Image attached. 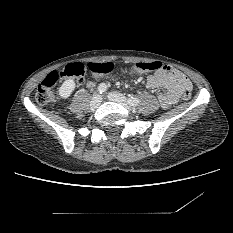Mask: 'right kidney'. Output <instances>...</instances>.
I'll list each match as a JSON object with an SVG mask.
<instances>
[{"label":"right kidney","instance_id":"right-kidney-1","mask_svg":"<svg viewBox=\"0 0 233 233\" xmlns=\"http://www.w3.org/2000/svg\"><path fill=\"white\" fill-rule=\"evenodd\" d=\"M75 89V82L73 79H67L58 89V95L62 99H67Z\"/></svg>","mask_w":233,"mask_h":233}]
</instances>
